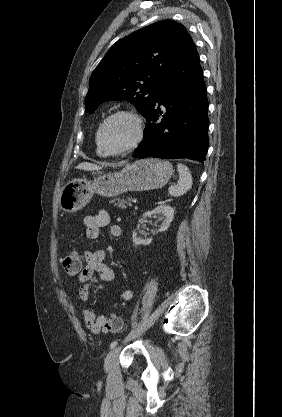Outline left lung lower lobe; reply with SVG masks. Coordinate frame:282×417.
Listing matches in <instances>:
<instances>
[{
  "instance_id": "left-lung-lower-lobe-1",
  "label": "left lung lower lobe",
  "mask_w": 282,
  "mask_h": 417,
  "mask_svg": "<svg viewBox=\"0 0 282 417\" xmlns=\"http://www.w3.org/2000/svg\"><path fill=\"white\" fill-rule=\"evenodd\" d=\"M145 117L144 139L134 157L188 158L204 163L209 140L208 99L194 42L168 70Z\"/></svg>"
}]
</instances>
